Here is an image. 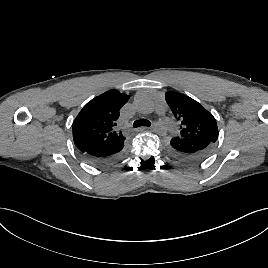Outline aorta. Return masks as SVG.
I'll return each instance as SVG.
<instances>
[{
    "mask_svg": "<svg viewBox=\"0 0 268 268\" xmlns=\"http://www.w3.org/2000/svg\"><path fill=\"white\" fill-rule=\"evenodd\" d=\"M136 107L141 114L151 116L156 109V101L152 95L144 93L136 99ZM152 132L158 138H165L168 135V128L158 123L154 125Z\"/></svg>",
    "mask_w": 268,
    "mask_h": 268,
    "instance_id": "aorta-1",
    "label": "aorta"
}]
</instances>
